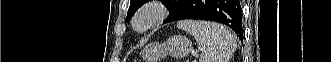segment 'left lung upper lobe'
I'll use <instances>...</instances> for the list:
<instances>
[{"instance_id":"obj_1","label":"left lung upper lobe","mask_w":331,"mask_h":62,"mask_svg":"<svg viewBox=\"0 0 331 62\" xmlns=\"http://www.w3.org/2000/svg\"><path fill=\"white\" fill-rule=\"evenodd\" d=\"M148 1L150 0H131L126 20H129L134 13ZM185 1L186 0H162L166 7L170 9V15L165 22H168V20L179 11Z\"/></svg>"}]
</instances>
